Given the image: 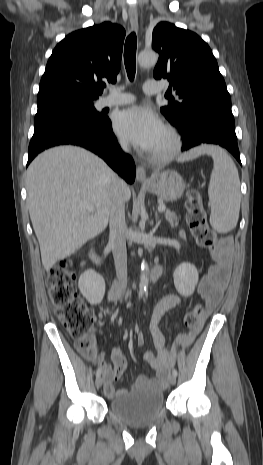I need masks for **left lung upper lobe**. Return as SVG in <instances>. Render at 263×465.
I'll use <instances>...</instances> for the list:
<instances>
[{"instance_id":"1","label":"left lung upper lobe","mask_w":263,"mask_h":465,"mask_svg":"<svg viewBox=\"0 0 263 465\" xmlns=\"http://www.w3.org/2000/svg\"><path fill=\"white\" fill-rule=\"evenodd\" d=\"M152 48L159 53L154 78L169 80V90L179 96L161 108L172 125L188 121L206 106L231 112V98L217 61L196 33L161 22L153 30Z\"/></svg>"}]
</instances>
